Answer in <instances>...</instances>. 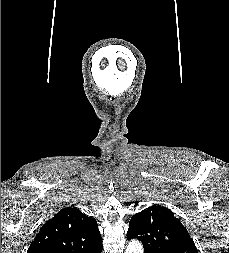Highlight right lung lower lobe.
<instances>
[{
    "instance_id": "1",
    "label": "right lung lower lobe",
    "mask_w": 229,
    "mask_h": 253,
    "mask_svg": "<svg viewBox=\"0 0 229 253\" xmlns=\"http://www.w3.org/2000/svg\"><path fill=\"white\" fill-rule=\"evenodd\" d=\"M101 251H102V246L99 249L95 250L93 253H101Z\"/></svg>"
}]
</instances>
